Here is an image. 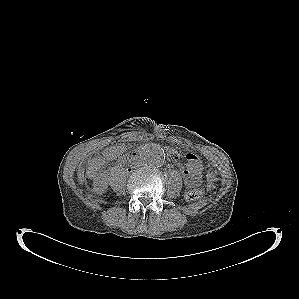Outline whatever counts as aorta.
Wrapping results in <instances>:
<instances>
[{
	"mask_svg": "<svg viewBox=\"0 0 299 299\" xmlns=\"http://www.w3.org/2000/svg\"><path fill=\"white\" fill-rule=\"evenodd\" d=\"M140 159L148 167H160L164 163L165 153L157 144H146L140 150Z\"/></svg>",
	"mask_w": 299,
	"mask_h": 299,
	"instance_id": "obj_1",
	"label": "aorta"
}]
</instances>
